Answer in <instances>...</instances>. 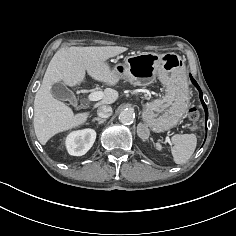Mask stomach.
<instances>
[{"instance_id": "obj_1", "label": "stomach", "mask_w": 236, "mask_h": 236, "mask_svg": "<svg viewBox=\"0 0 236 236\" xmlns=\"http://www.w3.org/2000/svg\"><path fill=\"white\" fill-rule=\"evenodd\" d=\"M113 70L120 79L136 86H147L158 77L166 86L162 99L147 103L142 119L147 128L164 132L174 127L185 114L189 105V91L181 58L175 54L153 52L131 53L124 63L116 64Z\"/></svg>"}]
</instances>
